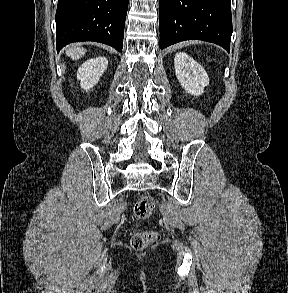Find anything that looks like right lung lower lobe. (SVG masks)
<instances>
[{"label":"right lung lower lobe","mask_w":288,"mask_h":293,"mask_svg":"<svg viewBox=\"0 0 288 293\" xmlns=\"http://www.w3.org/2000/svg\"><path fill=\"white\" fill-rule=\"evenodd\" d=\"M129 0H58L57 51L72 42L96 41L122 51Z\"/></svg>","instance_id":"98d812e1"}]
</instances>
